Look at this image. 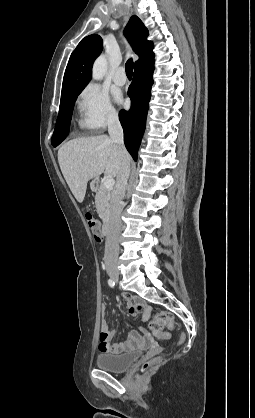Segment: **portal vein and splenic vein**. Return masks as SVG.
Masks as SVG:
<instances>
[{
	"mask_svg": "<svg viewBox=\"0 0 255 418\" xmlns=\"http://www.w3.org/2000/svg\"><path fill=\"white\" fill-rule=\"evenodd\" d=\"M114 184H115V180L112 177H109V178L105 179L104 182H103V186L106 189L112 188L114 186Z\"/></svg>",
	"mask_w": 255,
	"mask_h": 418,
	"instance_id": "1",
	"label": "portal vein and splenic vein"
}]
</instances>
